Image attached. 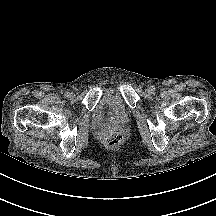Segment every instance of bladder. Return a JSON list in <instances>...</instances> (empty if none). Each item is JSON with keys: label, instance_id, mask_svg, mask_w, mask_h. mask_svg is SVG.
I'll return each mask as SVG.
<instances>
[{"label": "bladder", "instance_id": "obj_1", "mask_svg": "<svg viewBox=\"0 0 216 216\" xmlns=\"http://www.w3.org/2000/svg\"><path fill=\"white\" fill-rule=\"evenodd\" d=\"M94 115L101 125H124L130 117L126 106L115 95L104 96L95 109Z\"/></svg>", "mask_w": 216, "mask_h": 216}]
</instances>
